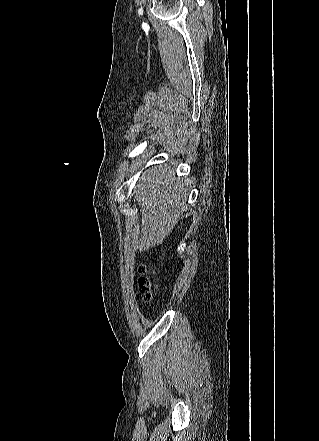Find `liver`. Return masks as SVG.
Segmentation results:
<instances>
[{
    "mask_svg": "<svg viewBox=\"0 0 319 441\" xmlns=\"http://www.w3.org/2000/svg\"><path fill=\"white\" fill-rule=\"evenodd\" d=\"M186 181L175 177L173 164L147 170L134 190L141 225L132 230L133 246L140 251L163 243L180 218L187 199Z\"/></svg>",
    "mask_w": 319,
    "mask_h": 441,
    "instance_id": "liver-1",
    "label": "liver"
}]
</instances>
